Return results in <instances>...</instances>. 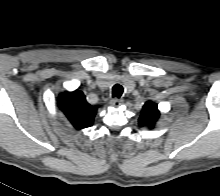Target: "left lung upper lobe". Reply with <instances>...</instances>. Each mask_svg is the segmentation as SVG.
Segmentation results:
<instances>
[{"label":"left lung upper lobe","mask_w":220,"mask_h":196,"mask_svg":"<svg viewBox=\"0 0 220 196\" xmlns=\"http://www.w3.org/2000/svg\"><path fill=\"white\" fill-rule=\"evenodd\" d=\"M160 116L157 104L148 101L143 106V112L139 118V126L152 129Z\"/></svg>","instance_id":"left-lung-upper-lobe-1"}]
</instances>
